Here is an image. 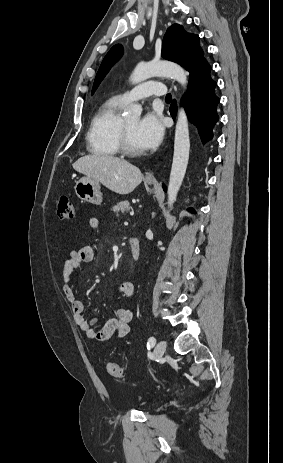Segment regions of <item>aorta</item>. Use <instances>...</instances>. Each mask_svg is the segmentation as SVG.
Segmentation results:
<instances>
[{"label": "aorta", "mask_w": 283, "mask_h": 463, "mask_svg": "<svg viewBox=\"0 0 283 463\" xmlns=\"http://www.w3.org/2000/svg\"><path fill=\"white\" fill-rule=\"evenodd\" d=\"M154 76H166L179 82L186 88L188 80L186 71L178 64L169 61H151L139 63L130 76L133 84L140 83ZM142 113V107L132 105L126 112V118H138ZM190 150L189 128L187 115L183 108L178 112L174 138V154L168 184V207L172 208L177 194L182 185Z\"/></svg>", "instance_id": "1"}]
</instances>
